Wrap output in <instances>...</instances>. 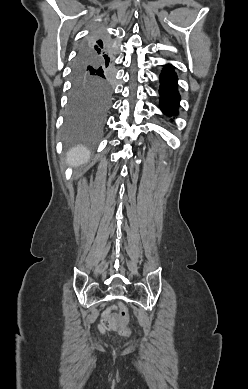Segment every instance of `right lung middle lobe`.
<instances>
[{
  "mask_svg": "<svg viewBox=\"0 0 248 389\" xmlns=\"http://www.w3.org/2000/svg\"><path fill=\"white\" fill-rule=\"evenodd\" d=\"M113 68L80 51L73 66V89L66 118L68 143L95 145L112 96Z\"/></svg>",
  "mask_w": 248,
  "mask_h": 389,
  "instance_id": "right-lung-middle-lobe-1",
  "label": "right lung middle lobe"
}]
</instances>
